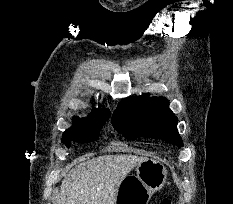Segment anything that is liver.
I'll return each instance as SVG.
<instances>
[{
    "label": "liver",
    "instance_id": "6515ba94",
    "mask_svg": "<svg viewBox=\"0 0 233 204\" xmlns=\"http://www.w3.org/2000/svg\"><path fill=\"white\" fill-rule=\"evenodd\" d=\"M143 157L105 155L84 161L65 176L58 204H114L122 180Z\"/></svg>",
    "mask_w": 233,
    "mask_h": 204
}]
</instances>
